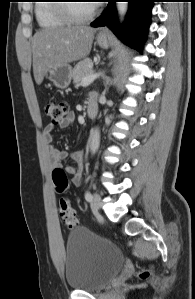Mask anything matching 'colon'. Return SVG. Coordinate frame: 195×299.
I'll return each mask as SVG.
<instances>
[{"instance_id": "5ec220e1", "label": "colon", "mask_w": 195, "mask_h": 299, "mask_svg": "<svg viewBox=\"0 0 195 299\" xmlns=\"http://www.w3.org/2000/svg\"><path fill=\"white\" fill-rule=\"evenodd\" d=\"M67 111L68 106L64 101L48 102L45 106V114L54 124H58L60 121H62L67 114ZM52 179L55 191L58 194L66 191L69 181L65 171L62 168L56 167L53 169ZM59 213L68 228L73 229L79 226L76 212L66 198H60L59 200ZM149 275L150 272L148 270H142L140 272V277L142 279L148 278Z\"/></svg>"}]
</instances>
